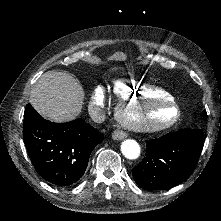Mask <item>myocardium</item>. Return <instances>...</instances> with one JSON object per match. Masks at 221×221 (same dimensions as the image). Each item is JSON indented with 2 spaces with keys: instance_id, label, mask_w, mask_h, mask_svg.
Returning a JSON list of instances; mask_svg holds the SVG:
<instances>
[{
  "instance_id": "myocardium-1",
  "label": "myocardium",
  "mask_w": 221,
  "mask_h": 221,
  "mask_svg": "<svg viewBox=\"0 0 221 221\" xmlns=\"http://www.w3.org/2000/svg\"><path fill=\"white\" fill-rule=\"evenodd\" d=\"M171 113L168 118L161 121H146L142 108L154 106H170ZM113 119L117 126H122L129 131L137 129L138 132L162 131L173 127L181 118L182 110L177 98L155 97L148 98L142 95L140 99L127 100L124 103L117 102L114 105ZM149 110V109H148Z\"/></svg>"
}]
</instances>
